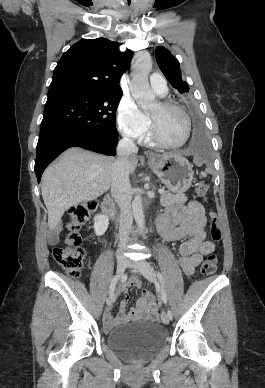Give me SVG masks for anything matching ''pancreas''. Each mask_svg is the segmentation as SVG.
Instances as JSON below:
<instances>
[{"mask_svg":"<svg viewBox=\"0 0 265 388\" xmlns=\"http://www.w3.org/2000/svg\"><path fill=\"white\" fill-rule=\"evenodd\" d=\"M185 202H187L185 194H169V192H164L160 196V204L163 208L173 206V204H185Z\"/></svg>","mask_w":265,"mask_h":388,"instance_id":"1","label":"pancreas"}]
</instances>
